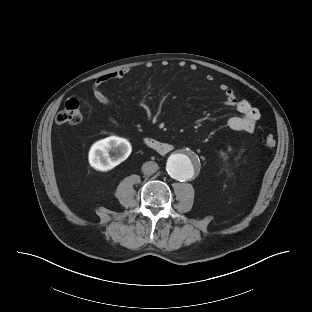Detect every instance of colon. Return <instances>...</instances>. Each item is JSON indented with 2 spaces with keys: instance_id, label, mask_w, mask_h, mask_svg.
<instances>
[{
  "instance_id": "1",
  "label": "colon",
  "mask_w": 312,
  "mask_h": 312,
  "mask_svg": "<svg viewBox=\"0 0 312 312\" xmlns=\"http://www.w3.org/2000/svg\"><path fill=\"white\" fill-rule=\"evenodd\" d=\"M82 120L80 103L76 99H70L65 103L64 108L57 114L56 122L59 124L75 125ZM264 145L267 148H273L276 145L275 137L267 134L264 138Z\"/></svg>"
}]
</instances>
